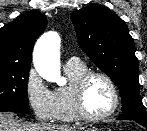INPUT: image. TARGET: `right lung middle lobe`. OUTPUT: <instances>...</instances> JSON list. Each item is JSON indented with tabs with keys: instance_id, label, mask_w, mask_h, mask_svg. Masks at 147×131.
Returning <instances> with one entry per match:
<instances>
[{
	"instance_id": "obj_1",
	"label": "right lung middle lobe",
	"mask_w": 147,
	"mask_h": 131,
	"mask_svg": "<svg viewBox=\"0 0 147 131\" xmlns=\"http://www.w3.org/2000/svg\"><path fill=\"white\" fill-rule=\"evenodd\" d=\"M29 69L25 66L0 65V108L29 110Z\"/></svg>"
}]
</instances>
